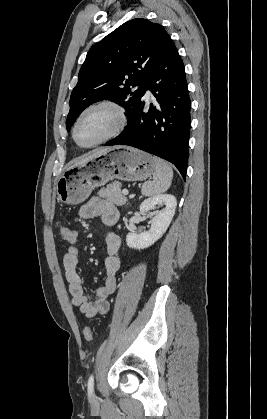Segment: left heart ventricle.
<instances>
[{
  "label": "left heart ventricle",
  "instance_id": "b2bd125f",
  "mask_svg": "<svg viewBox=\"0 0 267 419\" xmlns=\"http://www.w3.org/2000/svg\"><path fill=\"white\" fill-rule=\"evenodd\" d=\"M115 122V115L110 109L91 110L82 118L77 129V137L82 144H91L106 135Z\"/></svg>",
  "mask_w": 267,
  "mask_h": 419
}]
</instances>
